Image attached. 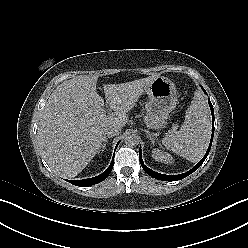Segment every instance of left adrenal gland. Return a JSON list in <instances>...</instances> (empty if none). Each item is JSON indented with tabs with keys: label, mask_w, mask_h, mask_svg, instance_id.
Returning a JSON list of instances; mask_svg holds the SVG:
<instances>
[{
	"label": "left adrenal gland",
	"mask_w": 248,
	"mask_h": 248,
	"mask_svg": "<svg viewBox=\"0 0 248 248\" xmlns=\"http://www.w3.org/2000/svg\"><path fill=\"white\" fill-rule=\"evenodd\" d=\"M147 138L152 142L155 143V138H153L151 135L147 134Z\"/></svg>",
	"instance_id": "a2214340"
}]
</instances>
